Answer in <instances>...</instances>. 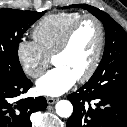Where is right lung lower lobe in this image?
<instances>
[{
  "label": "right lung lower lobe",
  "instance_id": "1",
  "mask_svg": "<svg viewBox=\"0 0 127 127\" xmlns=\"http://www.w3.org/2000/svg\"><path fill=\"white\" fill-rule=\"evenodd\" d=\"M32 82L26 77H16L0 69V127H32L30 116L47 107L44 97H17L26 93Z\"/></svg>",
  "mask_w": 127,
  "mask_h": 127
}]
</instances>
